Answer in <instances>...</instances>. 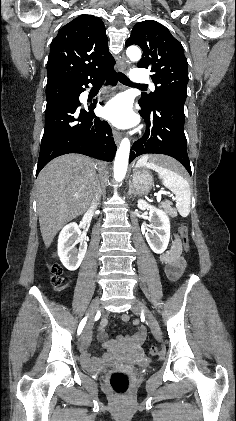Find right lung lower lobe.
<instances>
[{"mask_svg":"<svg viewBox=\"0 0 236 421\" xmlns=\"http://www.w3.org/2000/svg\"><path fill=\"white\" fill-rule=\"evenodd\" d=\"M98 79L106 84L116 85L114 70L106 71L88 80L74 82L77 99L46 107L45 130L41 141L36 175L52 159L68 153H80L97 159L112 161L116 145L112 130L106 121H101L93 113L96 102L80 107L79 96ZM102 104V103H101Z\"/></svg>","mask_w":236,"mask_h":421,"instance_id":"obj_1","label":"right lung lower lobe"}]
</instances>
